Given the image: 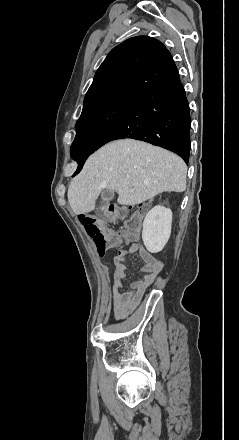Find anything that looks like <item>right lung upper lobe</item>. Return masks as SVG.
<instances>
[{
	"mask_svg": "<svg viewBox=\"0 0 239 440\" xmlns=\"http://www.w3.org/2000/svg\"><path fill=\"white\" fill-rule=\"evenodd\" d=\"M175 67L167 48L148 36L130 38L113 48L97 70L83 109L116 96L137 97Z\"/></svg>",
	"mask_w": 239,
	"mask_h": 440,
	"instance_id": "cb5924a9",
	"label": "right lung upper lobe"
}]
</instances>
